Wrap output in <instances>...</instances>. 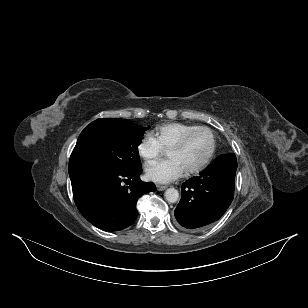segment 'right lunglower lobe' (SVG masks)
Wrapping results in <instances>:
<instances>
[{"mask_svg":"<svg viewBox=\"0 0 308 308\" xmlns=\"http://www.w3.org/2000/svg\"><path fill=\"white\" fill-rule=\"evenodd\" d=\"M140 174L141 168L131 172L86 170L71 174L74 201L79 211L101 230L127 228L137 217L136 202L140 196L156 190L153 183L142 182Z\"/></svg>","mask_w":308,"mask_h":308,"instance_id":"obj_1","label":"right lung lower lobe"}]
</instances>
